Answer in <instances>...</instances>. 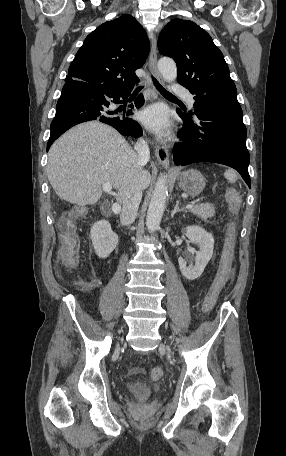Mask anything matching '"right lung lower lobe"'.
Segmentation results:
<instances>
[{
	"label": "right lung lower lobe",
	"mask_w": 286,
	"mask_h": 456,
	"mask_svg": "<svg viewBox=\"0 0 286 456\" xmlns=\"http://www.w3.org/2000/svg\"><path fill=\"white\" fill-rule=\"evenodd\" d=\"M131 90L105 93L86 83L66 81L56 106V115L51 123L47 150L66 130L76 124L91 120H98L111 125L122 135H131L135 138L141 136L140 125L129 118L133 114L132 110H124L123 113L118 114V111L108 109L112 103H121L120 98L125 99ZM134 103L135 105H130L131 109L134 106L136 108L141 107L144 103L143 96L140 94Z\"/></svg>",
	"instance_id": "obj_1"
}]
</instances>
